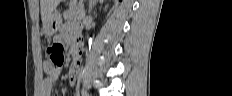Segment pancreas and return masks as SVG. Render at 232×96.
Wrapping results in <instances>:
<instances>
[{
	"label": "pancreas",
	"mask_w": 232,
	"mask_h": 96,
	"mask_svg": "<svg viewBox=\"0 0 232 96\" xmlns=\"http://www.w3.org/2000/svg\"><path fill=\"white\" fill-rule=\"evenodd\" d=\"M83 9L80 5H70L69 9L64 12L63 17L65 20L80 19Z\"/></svg>",
	"instance_id": "obj_1"
}]
</instances>
